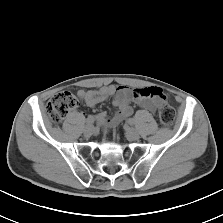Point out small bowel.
<instances>
[{
    "label": "small bowel",
    "mask_w": 223,
    "mask_h": 223,
    "mask_svg": "<svg viewBox=\"0 0 223 223\" xmlns=\"http://www.w3.org/2000/svg\"><path fill=\"white\" fill-rule=\"evenodd\" d=\"M154 91H157V93H154ZM160 94V90L155 87L130 88L128 86H115L113 84L98 89H81L77 93L78 97L91 108L113 96L112 103L117 108L115 115L110 119L107 118L105 112H100L93 116L103 130L116 127L129 117L133 112L131 103H135L145 110L154 111Z\"/></svg>",
    "instance_id": "c3829d8e"
}]
</instances>
